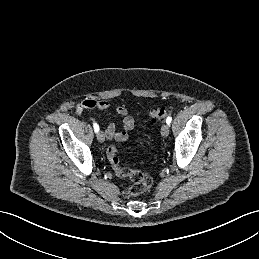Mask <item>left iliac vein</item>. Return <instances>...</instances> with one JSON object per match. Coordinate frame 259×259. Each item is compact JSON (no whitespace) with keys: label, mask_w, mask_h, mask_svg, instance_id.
<instances>
[{"label":"left iliac vein","mask_w":259,"mask_h":259,"mask_svg":"<svg viewBox=\"0 0 259 259\" xmlns=\"http://www.w3.org/2000/svg\"><path fill=\"white\" fill-rule=\"evenodd\" d=\"M169 125L168 124H163L161 127V134L163 137H167L169 135Z\"/></svg>","instance_id":"obj_1"}]
</instances>
